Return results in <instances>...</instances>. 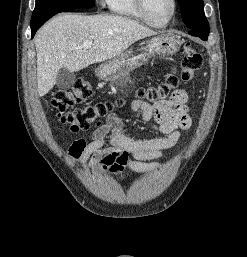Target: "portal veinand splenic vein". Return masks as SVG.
Segmentation results:
<instances>
[{
  "mask_svg": "<svg viewBox=\"0 0 247 257\" xmlns=\"http://www.w3.org/2000/svg\"><path fill=\"white\" fill-rule=\"evenodd\" d=\"M92 45H93L92 41L87 40V41L83 42L82 47L85 48V49H89V48H91Z\"/></svg>",
  "mask_w": 247,
  "mask_h": 257,
  "instance_id": "portal-vein-and-splenic-vein-1",
  "label": "portal vein and splenic vein"
}]
</instances>
